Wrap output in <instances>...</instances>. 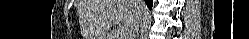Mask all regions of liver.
<instances>
[{"label":"liver","mask_w":249,"mask_h":39,"mask_svg":"<svg viewBox=\"0 0 249 39\" xmlns=\"http://www.w3.org/2000/svg\"><path fill=\"white\" fill-rule=\"evenodd\" d=\"M132 0H81L79 3L80 23L86 39H101L108 29L120 22L129 28L144 2L135 5Z\"/></svg>","instance_id":"1"}]
</instances>
